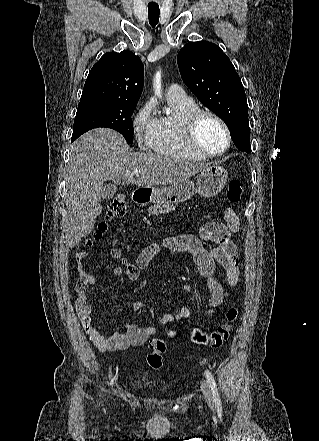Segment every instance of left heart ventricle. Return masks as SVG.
Instances as JSON below:
<instances>
[{
    "mask_svg": "<svg viewBox=\"0 0 319 441\" xmlns=\"http://www.w3.org/2000/svg\"><path fill=\"white\" fill-rule=\"evenodd\" d=\"M196 138L199 146L210 152H218L226 144V136L223 129L211 118H205L200 123Z\"/></svg>",
    "mask_w": 319,
    "mask_h": 441,
    "instance_id": "left-heart-ventricle-1",
    "label": "left heart ventricle"
}]
</instances>
